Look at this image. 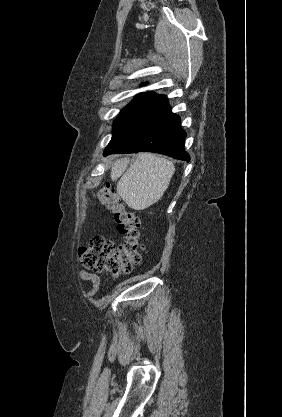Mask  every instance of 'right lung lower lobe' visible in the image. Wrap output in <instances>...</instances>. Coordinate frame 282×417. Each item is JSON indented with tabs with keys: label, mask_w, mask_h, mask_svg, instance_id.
Returning a JSON list of instances; mask_svg holds the SVG:
<instances>
[{
	"label": "right lung lower lobe",
	"mask_w": 282,
	"mask_h": 417,
	"mask_svg": "<svg viewBox=\"0 0 282 417\" xmlns=\"http://www.w3.org/2000/svg\"><path fill=\"white\" fill-rule=\"evenodd\" d=\"M185 137L180 118L171 112L166 96L161 95L139 118L112 137L104 156L150 151L189 162V154L184 151Z\"/></svg>",
	"instance_id": "obj_1"
}]
</instances>
